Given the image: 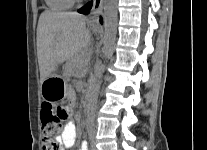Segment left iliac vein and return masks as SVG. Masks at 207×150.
<instances>
[{"instance_id": "4c4485c4", "label": "left iliac vein", "mask_w": 207, "mask_h": 150, "mask_svg": "<svg viewBox=\"0 0 207 150\" xmlns=\"http://www.w3.org/2000/svg\"><path fill=\"white\" fill-rule=\"evenodd\" d=\"M90 150H97V148L93 142L91 143Z\"/></svg>"}]
</instances>
